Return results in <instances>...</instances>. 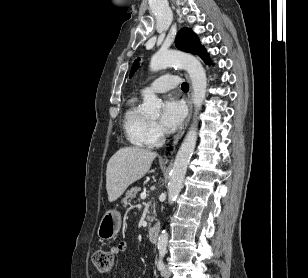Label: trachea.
Returning <instances> with one entry per match:
<instances>
[{
	"instance_id": "3493384b",
	"label": "trachea",
	"mask_w": 308,
	"mask_h": 278,
	"mask_svg": "<svg viewBox=\"0 0 308 278\" xmlns=\"http://www.w3.org/2000/svg\"><path fill=\"white\" fill-rule=\"evenodd\" d=\"M181 89H182L183 91H188V90H189V85H188L186 82H184V83H182V85H181Z\"/></svg>"
}]
</instances>
